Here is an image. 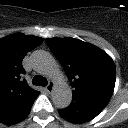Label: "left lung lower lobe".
Wrapping results in <instances>:
<instances>
[{
	"label": "left lung lower lobe",
	"instance_id": "0a47b994",
	"mask_svg": "<svg viewBox=\"0 0 128 128\" xmlns=\"http://www.w3.org/2000/svg\"><path fill=\"white\" fill-rule=\"evenodd\" d=\"M106 105L96 101L72 100L69 107L59 110V114L72 123H83L95 118Z\"/></svg>",
	"mask_w": 128,
	"mask_h": 128
}]
</instances>
